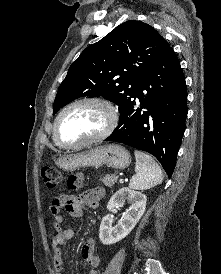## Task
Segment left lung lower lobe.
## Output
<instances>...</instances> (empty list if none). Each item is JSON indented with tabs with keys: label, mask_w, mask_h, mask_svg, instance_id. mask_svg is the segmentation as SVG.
<instances>
[{
	"label": "left lung lower lobe",
	"mask_w": 221,
	"mask_h": 274,
	"mask_svg": "<svg viewBox=\"0 0 221 274\" xmlns=\"http://www.w3.org/2000/svg\"><path fill=\"white\" fill-rule=\"evenodd\" d=\"M119 112V124L106 141L149 152L170 178L187 117L185 77L171 47L140 77L135 95Z\"/></svg>",
	"instance_id": "1"
}]
</instances>
